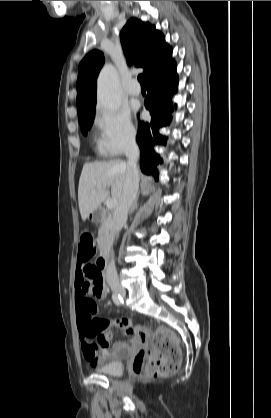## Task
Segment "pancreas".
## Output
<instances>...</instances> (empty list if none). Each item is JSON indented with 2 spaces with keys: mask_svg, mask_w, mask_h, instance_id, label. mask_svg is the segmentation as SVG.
<instances>
[{
  "mask_svg": "<svg viewBox=\"0 0 271 418\" xmlns=\"http://www.w3.org/2000/svg\"><path fill=\"white\" fill-rule=\"evenodd\" d=\"M113 226L112 221L109 216L104 217L103 222L98 230V244L100 247H103L107 241L112 237Z\"/></svg>",
  "mask_w": 271,
  "mask_h": 418,
  "instance_id": "cf45deb5",
  "label": "pancreas"
}]
</instances>
